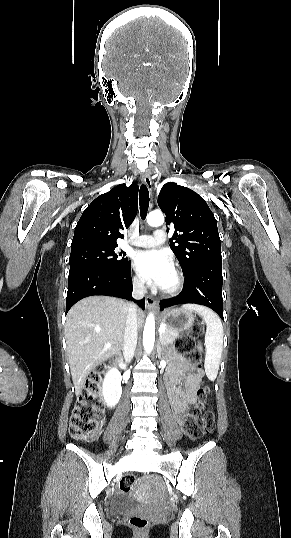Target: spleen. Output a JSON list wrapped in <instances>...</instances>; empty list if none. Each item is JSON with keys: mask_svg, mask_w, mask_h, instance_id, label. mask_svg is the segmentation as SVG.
Instances as JSON below:
<instances>
[{"mask_svg": "<svg viewBox=\"0 0 291 538\" xmlns=\"http://www.w3.org/2000/svg\"><path fill=\"white\" fill-rule=\"evenodd\" d=\"M183 308L201 315L207 325L205 333V372L214 381L218 374L223 349V327L218 316L209 308L197 304H185Z\"/></svg>", "mask_w": 291, "mask_h": 538, "instance_id": "3e777b00", "label": "spleen"}]
</instances>
